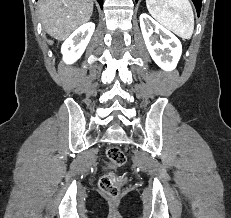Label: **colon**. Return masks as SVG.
<instances>
[{
    "label": "colon",
    "mask_w": 231,
    "mask_h": 218,
    "mask_svg": "<svg viewBox=\"0 0 231 218\" xmlns=\"http://www.w3.org/2000/svg\"><path fill=\"white\" fill-rule=\"evenodd\" d=\"M107 158L115 166H122L126 162L124 152L116 146L110 147L106 152ZM126 179L112 173L104 174L99 180L101 191L111 198H117Z\"/></svg>",
    "instance_id": "colon-1"
}]
</instances>
